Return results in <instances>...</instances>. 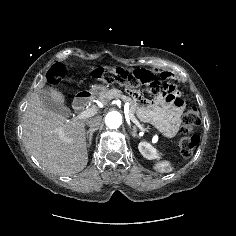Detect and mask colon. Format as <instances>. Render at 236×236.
I'll use <instances>...</instances> for the list:
<instances>
[{
	"instance_id": "colon-1",
	"label": "colon",
	"mask_w": 236,
	"mask_h": 236,
	"mask_svg": "<svg viewBox=\"0 0 236 236\" xmlns=\"http://www.w3.org/2000/svg\"><path fill=\"white\" fill-rule=\"evenodd\" d=\"M64 72L62 64H54L48 72V83L58 84L62 80ZM93 78L105 84L117 83L135 97L166 95L171 100H177L174 87H168L156 76L143 70L131 71L123 67H100L93 71ZM199 123L198 110L194 107L188 108L183 115V126L179 138L180 153L184 157H190L199 143V137L193 133V129Z\"/></svg>"
}]
</instances>
